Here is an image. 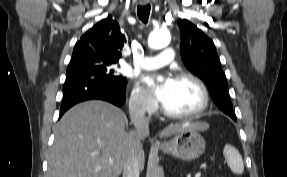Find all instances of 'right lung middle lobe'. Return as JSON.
I'll use <instances>...</instances> for the list:
<instances>
[{"label": "right lung middle lobe", "instance_id": "obj_1", "mask_svg": "<svg viewBox=\"0 0 287 177\" xmlns=\"http://www.w3.org/2000/svg\"><path fill=\"white\" fill-rule=\"evenodd\" d=\"M116 63L112 61L100 60V59H88L70 62L66 75L67 77L90 74L109 81H126L113 66Z\"/></svg>", "mask_w": 287, "mask_h": 177}]
</instances>
